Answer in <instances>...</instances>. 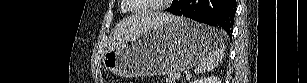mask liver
<instances>
[{
	"label": "liver",
	"instance_id": "6515ba94",
	"mask_svg": "<svg viewBox=\"0 0 307 83\" xmlns=\"http://www.w3.org/2000/svg\"><path fill=\"white\" fill-rule=\"evenodd\" d=\"M176 16L166 13L153 12L145 15H136L122 20L111 34L112 46L121 45L130 41L152 28L172 21Z\"/></svg>",
	"mask_w": 307,
	"mask_h": 83
}]
</instances>
